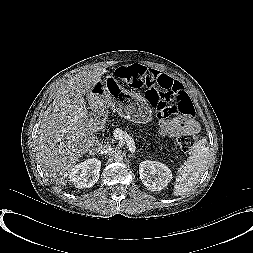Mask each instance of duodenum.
Here are the masks:
<instances>
[{
	"instance_id": "1",
	"label": "duodenum",
	"mask_w": 253,
	"mask_h": 253,
	"mask_svg": "<svg viewBox=\"0 0 253 253\" xmlns=\"http://www.w3.org/2000/svg\"><path fill=\"white\" fill-rule=\"evenodd\" d=\"M88 117L90 124L102 127L104 125L105 111L100 107H93L89 110Z\"/></svg>"
}]
</instances>
